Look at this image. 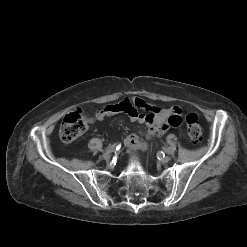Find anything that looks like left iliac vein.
<instances>
[{
    "instance_id": "4c4485c4",
    "label": "left iliac vein",
    "mask_w": 247,
    "mask_h": 247,
    "mask_svg": "<svg viewBox=\"0 0 247 247\" xmlns=\"http://www.w3.org/2000/svg\"><path fill=\"white\" fill-rule=\"evenodd\" d=\"M171 160V157L170 156H165L163 158H161V162L164 164V163H168L169 161Z\"/></svg>"
}]
</instances>
